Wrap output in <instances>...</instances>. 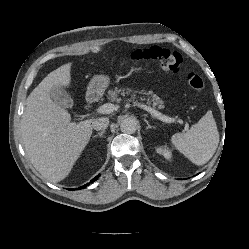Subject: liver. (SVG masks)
<instances>
[{
    "instance_id": "6515ba94",
    "label": "liver",
    "mask_w": 249,
    "mask_h": 249,
    "mask_svg": "<svg viewBox=\"0 0 249 249\" xmlns=\"http://www.w3.org/2000/svg\"><path fill=\"white\" fill-rule=\"evenodd\" d=\"M71 63L50 72L30 93L21 120L26 153L50 182L65 179L92 135V119L71 122L70 113L50 97L55 86H69Z\"/></svg>"
}]
</instances>
